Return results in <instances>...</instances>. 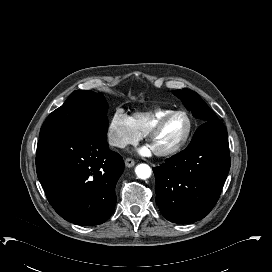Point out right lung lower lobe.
Returning a JSON list of instances; mask_svg holds the SVG:
<instances>
[{
    "mask_svg": "<svg viewBox=\"0 0 272 272\" xmlns=\"http://www.w3.org/2000/svg\"><path fill=\"white\" fill-rule=\"evenodd\" d=\"M36 170L55 211L71 223L90 226L113 213L124 162L109 149L107 133L74 127L40 137Z\"/></svg>",
    "mask_w": 272,
    "mask_h": 272,
    "instance_id": "1",
    "label": "right lung lower lobe"
}]
</instances>
